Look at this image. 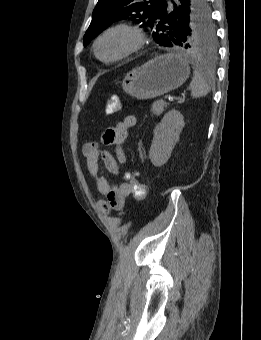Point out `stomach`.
I'll use <instances>...</instances> for the list:
<instances>
[{
	"instance_id": "obj_1",
	"label": "stomach",
	"mask_w": 261,
	"mask_h": 340,
	"mask_svg": "<svg viewBox=\"0 0 261 340\" xmlns=\"http://www.w3.org/2000/svg\"><path fill=\"white\" fill-rule=\"evenodd\" d=\"M189 74L185 58L177 54L160 55L127 73L122 88L136 99H153L180 87Z\"/></svg>"
}]
</instances>
